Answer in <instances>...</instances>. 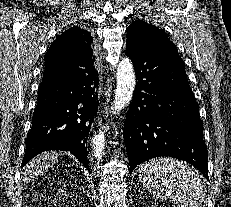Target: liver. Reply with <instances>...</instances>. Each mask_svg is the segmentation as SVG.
Segmentation results:
<instances>
[{
	"mask_svg": "<svg viewBox=\"0 0 231 207\" xmlns=\"http://www.w3.org/2000/svg\"><path fill=\"white\" fill-rule=\"evenodd\" d=\"M58 156V152H48L32 159L25 167V171L23 173L24 180L30 181L44 174L53 162L57 160Z\"/></svg>",
	"mask_w": 231,
	"mask_h": 207,
	"instance_id": "6515ba94",
	"label": "liver"
}]
</instances>
